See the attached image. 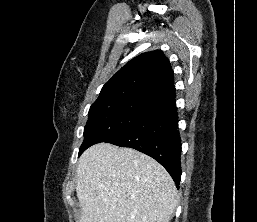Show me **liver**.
I'll return each mask as SVG.
<instances>
[{
  "mask_svg": "<svg viewBox=\"0 0 257 222\" xmlns=\"http://www.w3.org/2000/svg\"><path fill=\"white\" fill-rule=\"evenodd\" d=\"M76 193L80 222H169L177 206L176 186L162 165L109 143L81 155Z\"/></svg>",
  "mask_w": 257,
  "mask_h": 222,
  "instance_id": "liver-1",
  "label": "liver"
}]
</instances>
